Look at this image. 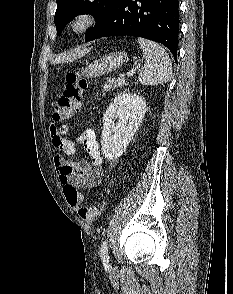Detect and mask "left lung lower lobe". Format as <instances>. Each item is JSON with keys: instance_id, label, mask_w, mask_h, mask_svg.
Here are the masks:
<instances>
[{"instance_id": "1", "label": "left lung lower lobe", "mask_w": 233, "mask_h": 294, "mask_svg": "<svg viewBox=\"0 0 233 294\" xmlns=\"http://www.w3.org/2000/svg\"><path fill=\"white\" fill-rule=\"evenodd\" d=\"M178 0H115L87 41L109 36H137L178 49Z\"/></svg>"}]
</instances>
